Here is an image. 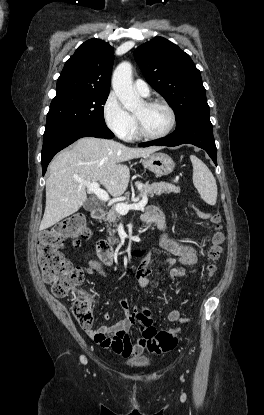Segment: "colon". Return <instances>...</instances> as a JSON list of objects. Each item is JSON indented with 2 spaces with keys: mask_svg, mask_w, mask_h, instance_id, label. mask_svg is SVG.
I'll return each mask as SVG.
<instances>
[{
  "mask_svg": "<svg viewBox=\"0 0 264 415\" xmlns=\"http://www.w3.org/2000/svg\"><path fill=\"white\" fill-rule=\"evenodd\" d=\"M198 215L207 219L213 226L211 244L208 250V277L216 271V262L222 253L223 234L221 232L222 218L218 211H199ZM88 236L86 219L83 215L68 217L60 224L43 229L37 241L38 263L42 278L51 285V292L56 297L72 298V313L79 325L91 329L93 323L92 309L97 301L96 295L83 286L85 272L70 263L61 253L66 240L74 244ZM183 270L177 269L174 275H182ZM143 326L146 347L150 353L160 354L173 349L178 343L177 330L156 331L151 324V314L144 309L137 315ZM147 324L144 325V323Z\"/></svg>",
  "mask_w": 264,
  "mask_h": 415,
  "instance_id": "colon-1",
  "label": "colon"
}]
</instances>
